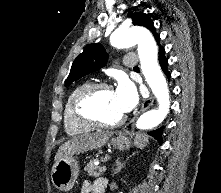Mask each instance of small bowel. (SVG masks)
<instances>
[{"instance_id": "obj_1", "label": "small bowel", "mask_w": 221, "mask_h": 193, "mask_svg": "<svg viewBox=\"0 0 221 193\" xmlns=\"http://www.w3.org/2000/svg\"><path fill=\"white\" fill-rule=\"evenodd\" d=\"M105 187V183L103 180H98L96 183L94 184H85L83 187V193H89L91 190L94 191L96 189H103L104 190Z\"/></svg>"}]
</instances>
